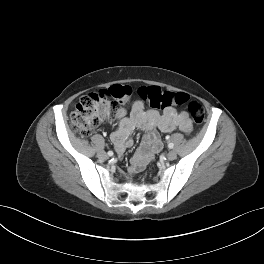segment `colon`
<instances>
[{"instance_id":"obj_1","label":"colon","mask_w":264,"mask_h":264,"mask_svg":"<svg viewBox=\"0 0 264 264\" xmlns=\"http://www.w3.org/2000/svg\"><path fill=\"white\" fill-rule=\"evenodd\" d=\"M132 93L133 89L128 85H115L108 90L82 96L71 115V128L83 137L89 136L100 125L110 121L117 114L119 104L128 100ZM137 93L144 102L155 109L182 106L188 101L186 93L170 92L157 86H141ZM188 113L195 123L203 122L205 109L199 102H190Z\"/></svg>"}]
</instances>
